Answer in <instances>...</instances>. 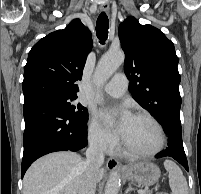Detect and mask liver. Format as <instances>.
<instances>
[{"label": "liver", "instance_id": "obj_1", "mask_svg": "<svg viewBox=\"0 0 201 194\" xmlns=\"http://www.w3.org/2000/svg\"><path fill=\"white\" fill-rule=\"evenodd\" d=\"M83 162L73 152H55L38 159L25 173L23 194H77L84 173ZM104 172L99 169L97 182Z\"/></svg>", "mask_w": 201, "mask_h": 194}]
</instances>
